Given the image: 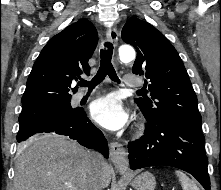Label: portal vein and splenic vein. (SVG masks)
Wrapping results in <instances>:
<instances>
[{
    "mask_svg": "<svg viewBox=\"0 0 221 190\" xmlns=\"http://www.w3.org/2000/svg\"><path fill=\"white\" fill-rule=\"evenodd\" d=\"M66 185H67L68 187H72V184H71V183H66Z\"/></svg>",
    "mask_w": 221,
    "mask_h": 190,
    "instance_id": "obj_1",
    "label": "portal vein and splenic vein"
}]
</instances>
